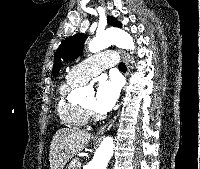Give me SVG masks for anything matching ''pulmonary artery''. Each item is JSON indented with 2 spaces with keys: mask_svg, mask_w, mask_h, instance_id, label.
<instances>
[{
  "mask_svg": "<svg viewBox=\"0 0 200 169\" xmlns=\"http://www.w3.org/2000/svg\"><path fill=\"white\" fill-rule=\"evenodd\" d=\"M117 62L118 58L114 52L96 54L74 66L67 77L82 84L97 76L104 69L115 66Z\"/></svg>",
  "mask_w": 200,
  "mask_h": 169,
  "instance_id": "e3ab8cb5",
  "label": "pulmonary artery"
}]
</instances>
